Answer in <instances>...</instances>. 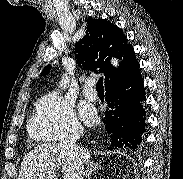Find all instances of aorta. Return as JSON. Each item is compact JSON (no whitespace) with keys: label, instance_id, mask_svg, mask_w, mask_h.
I'll return each instance as SVG.
<instances>
[{"label":"aorta","instance_id":"obj_1","mask_svg":"<svg viewBox=\"0 0 183 179\" xmlns=\"http://www.w3.org/2000/svg\"><path fill=\"white\" fill-rule=\"evenodd\" d=\"M69 83H70V80H69L67 74H64L61 78L60 83H59L61 89H64V90L67 89L69 87Z\"/></svg>","mask_w":183,"mask_h":179}]
</instances>
